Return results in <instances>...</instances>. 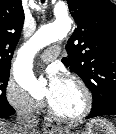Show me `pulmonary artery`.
<instances>
[{
    "label": "pulmonary artery",
    "instance_id": "pulmonary-artery-1",
    "mask_svg": "<svg viewBox=\"0 0 116 134\" xmlns=\"http://www.w3.org/2000/svg\"><path fill=\"white\" fill-rule=\"evenodd\" d=\"M59 52H60L59 46H52L43 51L40 57L44 62L48 63L53 61L58 56Z\"/></svg>",
    "mask_w": 116,
    "mask_h": 134
}]
</instances>
